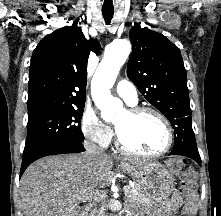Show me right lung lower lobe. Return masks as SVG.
Returning <instances> with one entry per match:
<instances>
[{
    "label": "right lung lower lobe",
    "instance_id": "1",
    "mask_svg": "<svg viewBox=\"0 0 221 216\" xmlns=\"http://www.w3.org/2000/svg\"><path fill=\"white\" fill-rule=\"evenodd\" d=\"M85 151L84 146L82 143H64L61 145H57L54 147H50L38 154L26 158L22 161V166L20 170V177L25 171V169L34 161L48 156V155H57V154H65V153H79Z\"/></svg>",
    "mask_w": 221,
    "mask_h": 216
}]
</instances>
